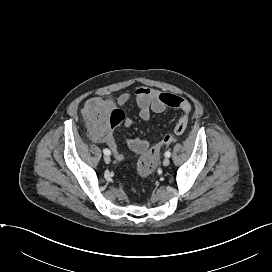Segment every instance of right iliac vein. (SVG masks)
<instances>
[{
    "label": "right iliac vein",
    "instance_id": "obj_1",
    "mask_svg": "<svg viewBox=\"0 0 272 272\" xmlns=\"http://www.w3.org/2000/svg\"><path fill=\"white\" fill-rule=\"evenodd\" d=\"M104 162H105L106 164H109V163L111 162V158H110L109 155H105V156H104Z\"/></svg>",
    "mask_w": 272,
    "mask_h": 272
}]
</instances>
